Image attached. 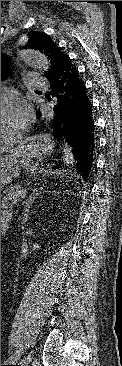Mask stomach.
<instances>
[{"mask_svg":"<svg viewBox=\"0 0 122 366\" xmlns=\"http://www.w3.org/2000/svg\"><path fill=\"white\" fill-rule=\"evenodd\" d=\"M39 141H31L27 147L37 146ZM20 153H13L6 156H1V185L9 183L18 175V170L21 164Z\"/></svg>","mask_w":122,"mask_h":366,"instance_id":"obj_1","label":"stomach"}]
</instances>
